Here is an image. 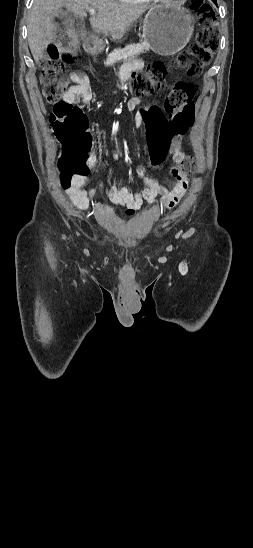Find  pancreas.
Returning <instances> with one entry per match:
<instances>
[{"label":"pancreas","instance_id":"cf45deb5","mask_svg":"<svg viewBox=\"0 0 253 548\" xmlns=\"http://www.w3.org/2000/svg\"><path fill=\"white\" fill-rule=\"evenodd\" d=\"M149 51V47L145 44H131L124 48H118L108 54L105 66H112L119 61L136 60L141 53Z\"/></svg>","mask_w":253,"mask_h":548}]
</instances>
